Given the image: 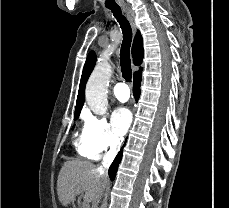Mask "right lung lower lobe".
<instances>
[{"mask_svg": "<svg viewBox=\"0 0 229 208\" xmlns=\"http://www.w3.org/2000/svg\"><path fill=\"white\" fill-rule=\"evenodd\" d=\"M141 77H142L141 72L139 74H137L136 76H134L133 94H134L136 101L139 99V96H140ZM122 152H123V150L121 149V151L118 153V155L116 156L115 160L113 161L112 165L109 168L108 173H109V177L111 180H114V178L116 176L118 165H119L121 158H122Z\"/></svg>", "mask_w": 229, "mask_h": 208, "instance_id": "right-lung-lower-lobe-1", "label": "right lung lower lobe"}]
</instances>
